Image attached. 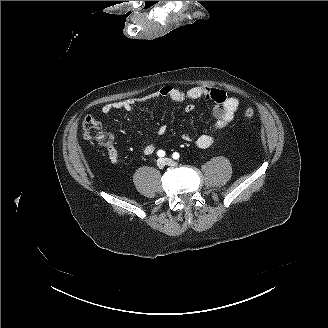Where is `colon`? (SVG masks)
Returning <instances> with one entry per match:
<instances>
[{
  "label": "colon",
  "mask_w": 328,
  "mask_h": 328,
  "mask_svg": "<svg viewBox=\"0 0 328 328\" xmlns=\"http://www.w3.org/2000/svg\"><path fill=\"white\" fill-rule=\"evenodd\" d=\"M254 114L255 111L251 107L246 108L244 111V115L247 118H252ZM82 127L85 138L96 140L103 145L108 144L109 138L103 134L101 124L95 118L87 116L83 121Z\"/></svg>",
  "instance_id": "1"
}]
</instances>
